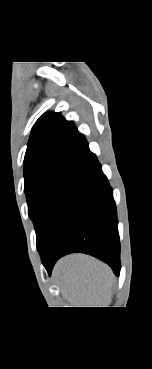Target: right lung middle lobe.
Returning <instances> with one entry per match:
<instances>
[{"mask_svg":"<svg viewBox=\"0 0 152 369\" xmlns=\"http://www.w3.org/2000/svg\"><path fill=\"white\" fill-rule=\"evenodd\" d=\"M79 166L62 163L36 168L24 175L28 213L35 226L37 247L46 234L59 198Z\"/></svg>","mask_w":152,"mask_h":369,"instance_id":"right-lung-middle-lobe-1","label":"right lung middle lobe"}]
</instances>
